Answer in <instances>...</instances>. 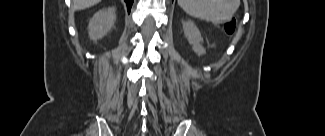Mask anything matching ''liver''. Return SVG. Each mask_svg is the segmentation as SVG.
I'll list each match as a JSON object with an SVG mask.
<instances>
[{
	"instance_id": "liver-1",
	"label": "liver",
	"mask_w": 325,
	"mask_h": 136,
	"mask_svg": "<svg viewBox=\"0 0 325 136\" xmlns=\"http://www.w3.org/2000/svg\"><path fill=\"white\" fill-rule=\"evenodd\" d=\"M100 0H73L72 8L74 10H83L99 3Z\"/></svg>"
}]
</instances>
